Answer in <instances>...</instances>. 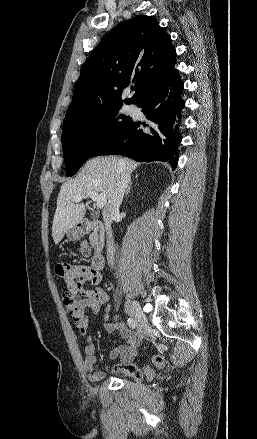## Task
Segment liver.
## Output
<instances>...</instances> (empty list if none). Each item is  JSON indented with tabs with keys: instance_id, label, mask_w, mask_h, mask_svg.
Instances as JSON below:
<instances>
[{
	"instance_id": "6515ba94",
	"label": "liver",
	"mask_w": 257,
	"mask_h": 439,
	"mask_svg": "<svg viewBox=\"0 0 257 439\" xmlns=\"http://www.w3.org/2000/svg\"><path fill=\"white\" fill-rule=\"evenodd\" d=\"M119 161H123V167L119 166ZM137 166L136 162L129 159L113 156L97 157L88 160L77 177L63 183L58 194L52 224V237L55 244L62 240L69 229L81 222L86 213L84 203H74L77 194L95 191L98 194H105L106 199H109L120 173L124 170L131 173Z\"/></svg>"
}]
</instances>
